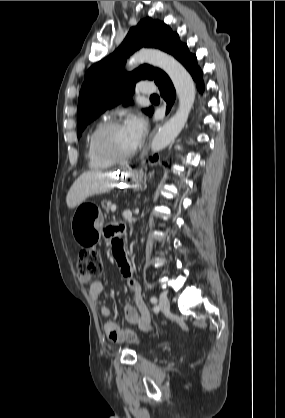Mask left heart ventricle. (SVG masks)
I'll use <instances>...</instances> for the list:
<instances>
[{
	"mask_svg": "<svg viewBox=\"0 0 285 418\" xmlns=\"http://www.w3.org/2000/svg\"><path fill=\"white\" fill-rule=\"evenodd\" d=\"M107 143L113 151L119 154H125L135 147L132 137L125 126L111 131L107 135Z\"/></svg>",
	"mask_w": 285,
	"mask_h": 418,
	"instance_id": "obj_1",
	"label": "left heart ventricle"
}]
</instances>
